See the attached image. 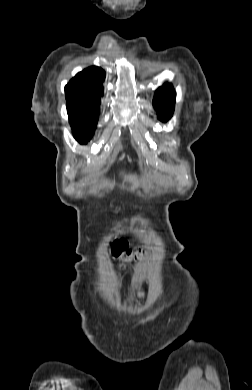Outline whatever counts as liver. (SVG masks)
Listing matches in <instances>:
<instances>
[{"mask_svg":"<svg viewBox=\"0 0 252 390\" xmlns=\"http://www.w3.org/2000/svg\"><path fill=\"white\" fill-rule=\"evenodd\" d=\"M125 179H127L128 181L132 182L134 177L133 176H129V177H126Z\"/></svg>","mask_w":252,"mask_h":390,"instance_id":"6515ba94","label":"liver"}]
</instances>
